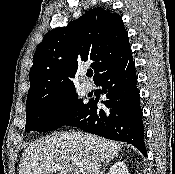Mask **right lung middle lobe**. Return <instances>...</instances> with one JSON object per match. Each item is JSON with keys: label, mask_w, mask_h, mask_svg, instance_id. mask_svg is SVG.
I'll return each instance as SVG.
<instances>
[{"label": "right lung middle lobe", "mask_w": 175, "mask_h": 174, "mask_svg": "<svg viewBox=\"0 0 175 174\" xmlns=\"http://www.w3.org/2000/svg\"><path fill=\"white\" fill-rule=\"evenodd\" d=\"M25 130L46 132L67 125L85 108L75 88L56 92L26 104Z\"/></svg>", "instance_id": "right-lung-middle-lobe-1"}]
</instances>
